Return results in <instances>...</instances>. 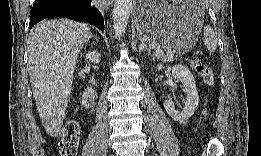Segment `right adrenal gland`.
I'll use <instances>...</instances> for the list:
<instances>
[{
  "label": "right adrenal gland",
  "mask_w": 261,
  "mask_h": 156,
  "mask_svg": "<svg viewBox=\"0 0 261 156\" xmlns=\"http://www.w3.org/2000/svg\"><path fill=\"white\" fill-rule=\"evenodd\" d=\"M91 38H94L96 41H98L99 39H98V37L97 36H95V35H91Z\"/></svg>",
  "instance_id": "right-adrenal-gland-1"
}]
</instances>
